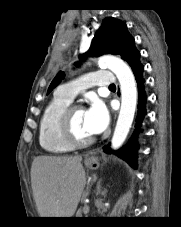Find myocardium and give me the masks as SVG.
Returning <instances> with one entry per match:
<instances>
[{
  "label": "myocardium",
  "mask_w": 181,
  "mask_h": 227,
  "mask_svg": "<svg viewBox=\"0 0 181 227\" xmlns=\"http://www.w3.org/2000/svg\"><path fill=\"white\" fill-rule=\"evenodd\" d=\"M80 104H70L65 108L60 117V131L63 138L73 147H86L95 141L93 136L80 137L73 128V114L77 110H83Z\"/></svg>",
  "instance_id": "obj_1"
}]
</instances>
